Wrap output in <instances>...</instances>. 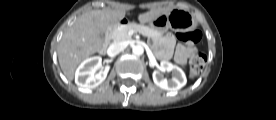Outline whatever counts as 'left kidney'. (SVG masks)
<instances>
[{"label":"left kidney","mask_w":276,"mask_h":120,"mask_svg":"<svg viewBox=\"0 0 276 120\" xmlns=\"http://www.w3.org/2000/svg\"><path fill=\"white\" fill-rule=\"evenodd\" d=\"M160 67L163 70L172 72V78H164L160 71L155 70L152 76L154 83L158 87L170 92H176L186 85L187 79L185 73L180 67L173 65L168 61H162Z\"/></svg>","instance_id":"1"}]
</instances>
